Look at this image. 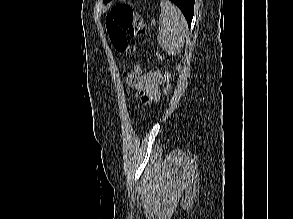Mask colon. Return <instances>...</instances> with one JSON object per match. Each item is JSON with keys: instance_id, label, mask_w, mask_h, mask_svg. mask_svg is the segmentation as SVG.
<instances>
[{"instance_id": "obj_1", "label": "colon", "mask_w": 293, "mask_h": 219, "mask_svg": "<svg viewBox=\"0 0 293 219\" xmlns=\"http://www.w3.org/2000/svg\"><path fill=\"white\" fill-rule=\"evenodd\" d=\"M110 42L118 53H132L134 47L129 43V36L140 37L148 40V31L143 19L125 3H117L112 7L105 21ZM158 58H161L157 54ZM141 66L139 63L133 64V74H140ZM171 76L165 70L163 78V90L166 95L171 92Z\"/></svg>"}]
</instances>
